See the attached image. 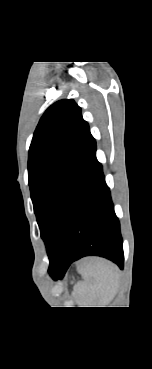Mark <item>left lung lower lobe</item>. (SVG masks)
I'll return each instance as SVG.
<instances>
[{"label":"left lung lower lobe","mask_w":152,"mask_h":369,"mask_svg":"<svg viewBox=\"0 0 152 369\" xmlns=\"http://www.w3.org/2000/svg\"><path fill=\"white\" fill-rule=\"evenodd\" d=\"M87 255H98L123 268L124 255L119 220L115 215L96 144L73 202L66 232L48 272L62 278L70 264Z\"/></svg>","instance_id":"obj_1"}]
</instances>
